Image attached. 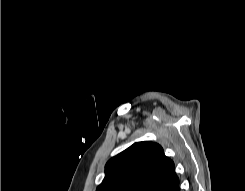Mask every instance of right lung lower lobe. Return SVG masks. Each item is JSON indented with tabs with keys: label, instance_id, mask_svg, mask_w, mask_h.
Masks as SVG:
<instances>
[{
	"label": "right lung lower lobe",
	"instance_id": "right-lung-lower-lobe-1",
	"mask_svg": "<svg viewBox=\"0 0 245 191\" xmlns=\"http://www.w3.org/2000/svg\"><path fill=\"white\" fill-rule=\"evenodd\" d=\"M174 191H180L179 186H177L176 189H174Z\"/></svg>",
	"mask_w": 245,
	"mask_h": 191
}]
</instances>
